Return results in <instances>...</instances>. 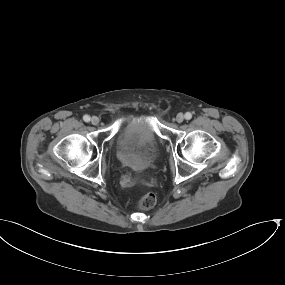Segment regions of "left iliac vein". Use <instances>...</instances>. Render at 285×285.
Here are the masks:
<instances>
[{"mask_svg": "<svg viewBox=\"0 0 285 285\" xmlns=\"http://www.w3.org/2000/svg\"><path fill=\"white\" fill-rule=\"evenodd\" d=\"M176 121H177L178 123L183 122V121H184V115H183L182 113L177 114V116H176Z\"/></svg>", "mask_w": 285, "mask_h": 285, "instance_id": "obj_1", "label": "left iliac vein"}]
</instances>
